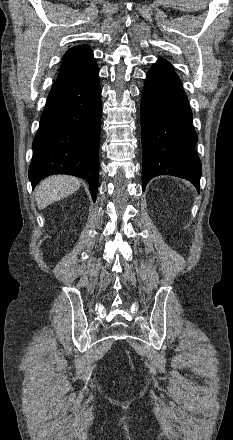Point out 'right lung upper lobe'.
I'll list each match as a JSON object with an SVG mask.
<instances>
[{
	"label": "right lung upper lobe",
	"instance_id": "1",
	"mask_svg": "<svg viewBox=\"0 0 233 440\" xmlns=\"http://www.w3.org/2000/svg\"><path fill=\"white\" fill-rule=\"evenodd\" d=\"M96 65L92 50L89 47H73L63 57L57 80L78 75Z\"/></svg>",
	"mask_w": 233,
	"mask_h": 440
}]
</instances>
